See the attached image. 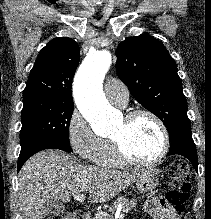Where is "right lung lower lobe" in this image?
Returning a JSON list of instances; mask_svg holds the SVG:
<instances>
[{"label": "right lung lower lobe", "mask_w": 211, "mask_h": 219, "mask_svg": "<svg viewBox=\"0 0 211 219\" xmlns=\"http://www.w3.org/2000/svg\"><path fill=\"white\" fill-rule=\"evenodd\" d=\"M44 149H60L66 152H72L60 145L53 144V143H41L37 144L35 146H32L24 151L20 152L18 164H17V172L21 169L22 165L26 162V160L31 157L33 154L37 153L38 151L44 150Z\"/></svg>", "instance_id": "1"}]
</instances>
